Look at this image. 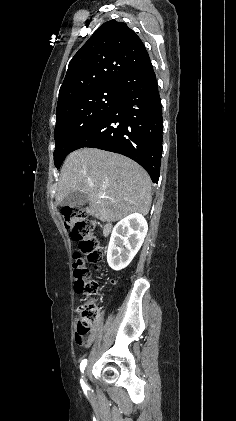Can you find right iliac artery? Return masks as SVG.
<instances>
[{
  "mask_svg": "<svg viewBox=\"0 0 236 421\" xmlns=\"http://www.w3.org/2000/svg\"><path fill=\"white\" fill-rule=\"evenodd\" d=\"M86 365H87V359L82 360V362L80 363V370L82 373H84V369ZM80 383H81L82 389L84 390V392H86L88 389V386L84 383L83 379L80 380Z\"/></svg>",
  "mask_w": 236,
  "mask_h": 421,
  "instance_id": "82829eb1",
  "label": "right iliac artery"
}]
</instances>
